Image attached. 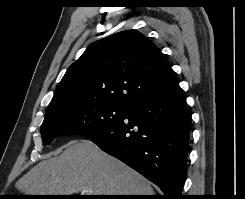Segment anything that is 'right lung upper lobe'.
I'll use <instances>...</instances> for the list:
<instances>
[{"label":"right lung upper lobe","mask_w":245,"mask_h":199,"mask_svg":"<svg viewBox=\"0 0 245 199\" xmlns=\"http://www.w3.org/2000/svg\"><path fill=\"white\" fill-rule=\"evenodd\" d=\"M178 85L167 59L152 41L128 30L89 45L57 86L46 116L88 103L131 107Z\"/></svg>","instance_id":"obj_1"}]
</instances>
